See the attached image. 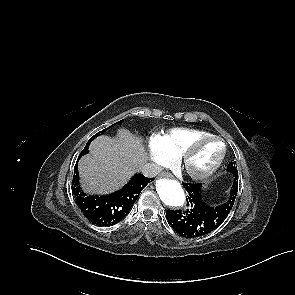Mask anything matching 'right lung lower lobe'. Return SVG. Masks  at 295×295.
Instances as JSON below:
<instances>
[{
	"instance_id": "1",
	"label": "right lung lower lobe",
	"mask_w": 295,
	"mask_h": 295,
	"mask_svg": "<svg viewBox=\"0 0 295 295\" xmlns=\"http://www.w3.org/2000/svg\"><path fill=\"white\" fill-rule=\"evenodd\" d=\"M89 148V147H88ZM81 152L80 156L88 153ZM77 162L74 168L73 193L76 202L84 216L93 224L110 226L120 222L129 213L133 203L137 200L142 189L153 178L142 174L134 175L131 180L119 191L106 196H88L79 186Z\"/></svg>"
}]
</instances>
